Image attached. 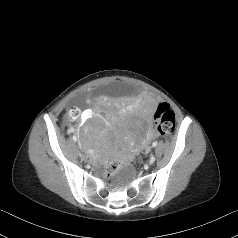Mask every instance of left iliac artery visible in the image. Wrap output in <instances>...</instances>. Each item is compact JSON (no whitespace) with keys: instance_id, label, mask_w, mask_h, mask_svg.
<instances>
[{"instance_id":"left-iliac-artery-1","label":"left iliac artery","mask_w":238,"mask_h":238,"mask_svg":"<svg viewBox=\"0 0 238 238\" xmlns=\"http://www.w3.org/2000/svg\"><path fill=\"white\" fill-rule=\"evenodd\" d=\"M156 146H157V142L155 141L153 142L152 147H156Z\"/></svg>"}]
</instances>
